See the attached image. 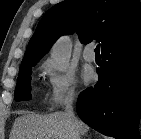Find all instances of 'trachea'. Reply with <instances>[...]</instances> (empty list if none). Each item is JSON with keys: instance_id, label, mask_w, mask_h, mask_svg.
Returning <instances> with one entry per match:
<instances>
[{"instance_id": "obj_1", "label": "trachea", "mask_w": 141, "mask_h": 139, "mask_svg": "<svg viewBox=\"0 0 141 139\" xmlns=\"http://www.w3.org/2000/svg\"><path fill=\"white\" fill-rule=\"evenodd\" d=\"M95 53L99 54L100 53V44H98L95 48Z\"/></svg>"}]
</instances>
